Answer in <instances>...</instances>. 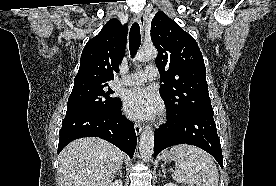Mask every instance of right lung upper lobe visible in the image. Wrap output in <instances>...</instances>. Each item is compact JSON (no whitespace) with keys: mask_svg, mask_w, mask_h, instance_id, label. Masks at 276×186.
I'll return each instance as SVG.
<instances>
[{"mask_svg":"<svg viewBox=\"0 0 276 186\" xmlns=\"http://www.w3.org/2000/svg\"><path fill=\"white\" fill-rule=\"evenodd\" d=\"M127 30L126 24L122 26L113 18L97 36L87 42L82 51L74 87L108 85V81L114 79L125 52Z\"/></svg>","mask_w":276,"mask_h":186,"instance_id":"1","label":"right lung upper lobe"}]
</instances>
